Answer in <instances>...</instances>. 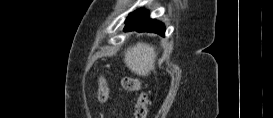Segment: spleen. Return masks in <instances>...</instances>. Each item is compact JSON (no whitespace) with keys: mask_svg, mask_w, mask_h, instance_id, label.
<instances>
[{"mask_svg":"<svg viewBox=\"0 0 273 118\" xmlns=\"http://www.w3.org/2000/svg\"><path fill=\"white\" fill-rule=\"evenodd\" d=\"M155 48L146 43H137L125 51L126 66L139 76H147L155 69Z\"/></svg>","mask_w":273,"mask_h":118,"instance_id":"spleen-1","label":"spleen"}]
</instances>
